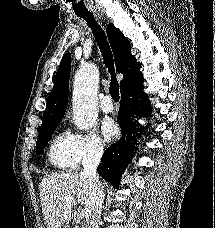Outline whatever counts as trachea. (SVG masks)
<instances>
[{
    "instance_id": "trachea-1",
    "label": "trachea",
    "mask_w": 215,
    "mask_h": 228,
    "mask_svg": "<svg viewBox=\"0 0 215 228\" xmlns=\"http://www.w3.org/2000/svg\"><path fill=\"white\" fill-rule=\"evenodd\" d=\"M78 17L87 21L88 26L92 29L99 48L102 53L104 64L111 74L109 93L115 102L119 101V84L114 72V62L111 49L105 37L104 31L98 26L92 14H77Z\"/></svg>"
}]
</instances>
